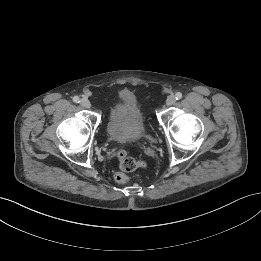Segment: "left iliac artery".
<instances>
[{"mask_svg":"<svg viewBox=\"0 0 261 261\" xmlns=\"http://www.w3.org/2000/svg\"><path fill=\"white\" fill-rule=\"evenodd\" d=\"M176 100H180L182 98V93L177 92L175 95Z\"/></svg>","mask_w":261,"mask_h":261,"instance_id":"left-iliac-artery-1","label":"left iliac artery"}]
</instances>
